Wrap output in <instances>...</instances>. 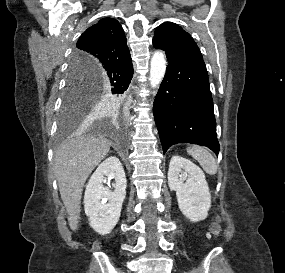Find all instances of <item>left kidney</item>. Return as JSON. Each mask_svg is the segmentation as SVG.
Wrapping results in <instances>:
<instances>
[{
    "mask_svg": "<svg viewBox=\"0 0 285 273\" xmlns=\"http://www.w3.org/2000/svg\"><path fill=\"white\" fill-rule=\"evenodd\" d=\"M168 185L170 190L176 191L179 209L187 218L198 222L207 217L211 194L205 174L197 165L181 156H173L169 164Z\"/></svg>",
    "mask_w": 285,
    "mask_h": 273,
    "instance_id": "obj_1",
    "label": "left kidney"
}]
</instances>
